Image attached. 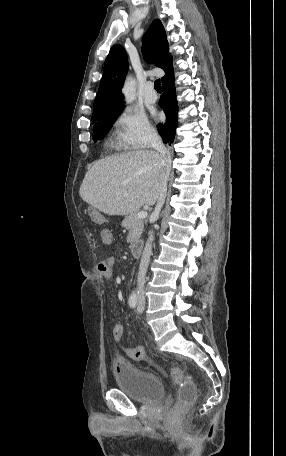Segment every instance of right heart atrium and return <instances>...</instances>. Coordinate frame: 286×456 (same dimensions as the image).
Instances as JSON below:
<instances>
[{"instance_id": "obj_1", "label": "right heart atrium", "mask_w": 286, "mask_h": 456, "mask_svg": "<svg viewBox=\"0 0 286 456\" xmlns=\"http://www.w3.org/2000/svg\"><path fill=\"white\" fill-rule=\"evenodd\" d=\"M115 138L122 148H145L156 139L146 115L132 108L123 109L115 118Z\"/></svg>"}]
</instances>
